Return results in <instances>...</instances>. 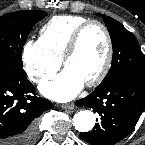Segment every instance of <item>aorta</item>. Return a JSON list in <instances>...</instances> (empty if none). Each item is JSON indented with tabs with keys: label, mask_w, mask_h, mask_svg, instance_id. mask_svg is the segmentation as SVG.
<instances>
[{
	"label": "aorta",
	"mask_w": 145,
	"mask_h": 145,
	"mask_svg": "<svg viewBox=\"0 0 145 145\" xmlns=\"http://www.w3.org/2000/svg\"><path fill=\"white\" fill-rule=\"evenodd\" d=\"M95 123V115L89 110L79 111L73 117V125L79 132H88L92 130Z\"/></svg>",
	"instance_id": "762f6f07"
}]
</instances>
